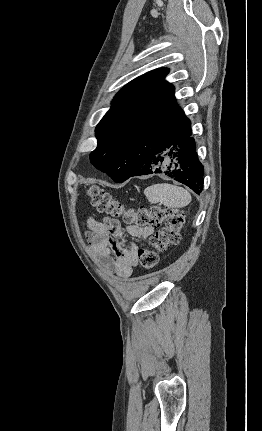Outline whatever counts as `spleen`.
<instances>
[{"label":"spleen","mask_w":262,"mask_h":431,"mask_svg":"<svg viewBox=\"0 0 262 431\" xmlns=\"http://www.w3.org/2000/svg\"><path fill=\"white\" fill-rule=\"evenodd\" d=\"M144 194L149 202L162 203L167 207L182 208L191 202V195L186 189L168 183L151 185L144 190Z\"/></svg>","instance_id":"3e777b00"}]
</instances>
